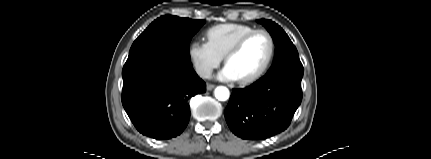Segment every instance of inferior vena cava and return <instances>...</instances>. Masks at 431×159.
<instances>
[{
    "label": "inferior vena cava",
    "instance_id": "1",
    "mask_svg": "<svg viewBox=\"0 0 431 159\" xmlns=\"http://www.w3.org/2000/svg\"><path fill=\"white\" fill-rule=\"evenodd\" d=\"M196 71H197V74L202 78H206V79L211 78L212 69L209 67H198Z\"/></svg>",
    "mask_w": 431,
    "mask_h": 159
}]
</instances>
